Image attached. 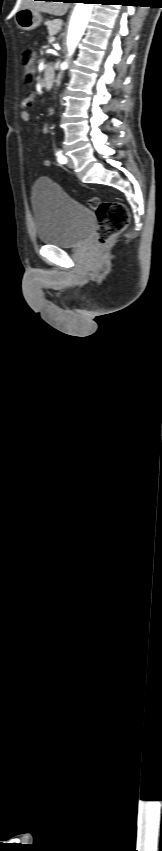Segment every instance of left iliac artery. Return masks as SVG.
<instances>
[{"label":"left iliac artery","mask_w":162,"mask_h":851,"mask_svg":"<svg viewBox=\"0 0 162 851\" xmlns=\"http://www.w3.org/2000/svg\"><path fill=\"white\" fill-rule=\"evenodd\" d=\"M56 155H57V159H58V162H59V163H61V164H65V163L67 162L66 157L62 155L61 151H58V152L56 153Z\"/></svg>","instance_id":"44dca946"}]
</instances>
